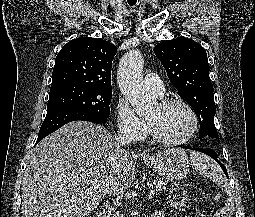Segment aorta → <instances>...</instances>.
<instances>
[{
    "label": "aorta",
    "instance_id": "obj_1",
    "mask_svg": "<svg viewBox=\"0 0 255 217\" xmlns=\"http://www.w3.org/2000/svg\"><path fill=\"white\" fill-rule=\"evenodd\" d=\"M144 60L139 50L133 49L121 58L117 71L118 84L122 94L138 115H144L156 105L143 84Z\"/></svg>",
    "mask_w": 255,
    "mask_h": 217
}]
</instances>
